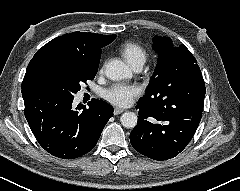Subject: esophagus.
<instances>
[{
	"label": "esophagus",
	"mask_w": 240,
	"mask_h": 191,
	"mask_svg": "<svg viewBox=\"0 0 240 191\" xmlns=\"http://www.w3.org/2000/svg\"><path fill=\"white\" fill-rule=\"evenodd\" d=\"M123 111H124V109L115 108V109H114V115H119V114H121Z\"/></svg>",
	"instance_id": "obj_1"
}]
</instances>
